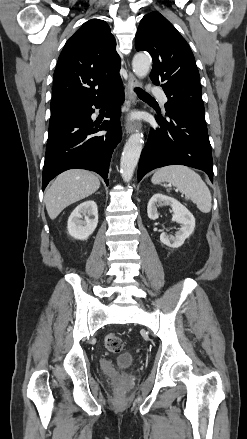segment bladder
I'll return each mask as SVG.
<instances>
[{"instance_id":"bladder-1","label":"bladder","mask_w":247,"mask_h":439,"mask_svg":"<svg viewBox=\"0 0 247 439\" xmlns=\"http://www.w3.org/2000/svg\"><path fill=\"white\" fill-rule=\"evenodd\" d=\"M117 363L122 368L129 367L134 363V355L129 352L122 353L117 357Z\"/></svg>"}]
</instances>
